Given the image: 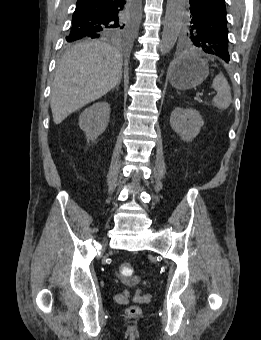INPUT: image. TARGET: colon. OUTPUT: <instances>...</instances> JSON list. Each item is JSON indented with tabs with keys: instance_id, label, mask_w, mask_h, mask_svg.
I'll return each mask as SVG.
<instances>
[{
	"instance_id": "colon-1",
	"label": "colon",
	"mask_w": 261,
	"mask_h": 340,
	"mask_svg": "<svg viewBox=\"0 0 261 340\" xmlns=\"http://www.w3.org/2000/svg\"><path fill=\"white\" fill-rule=\"evenodd\" d=\"M134 273L133 266L129 262H123L118 267V275L124 279L129 280L132 278ZM140 308L137 306H130L127 309L128 314L136 315L140 313Z\"/></svg>"
}]
</instances>
